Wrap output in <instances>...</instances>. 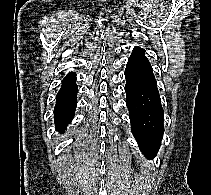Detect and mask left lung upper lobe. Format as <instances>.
<instances>
[{
  "label": "left lung upper lobe",
  "mask_w": 211,
  "mask_h": 195,
  "mask_svg": "<svg viewBox=\"0 0 211 195\" xmlns=\"http://www.w3.org/2000/svg\"><path fill=\"white\" fill-rule=\"evenodd\" d=\"M131 58H136V59H145L148 60L145 56V50L140 48V47H135L133 50L132 55L130 56Z\"/></svg>",
  "instance_id": "obj_1"
}]
</instances>
